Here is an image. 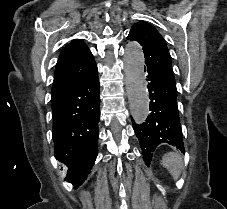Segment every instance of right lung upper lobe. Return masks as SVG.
I'll return each mask as SVG.
<instances>
[{"instance_id":"obj_1","label":"right lung upper lobe","mask_w":227,"mask_h":209,"mask_svg":"<svg viewBox=\"0 0 227 209\" xmlns=\"http://www.w3.org/2000/svg\"><path fill=\"white\" fill-rule=\"evenodd\" d=\"M94 62L93 55L82 40L74 39L67 44L62 49L56 64L51 98L62 95L81 79L82 74L76 76L62 75L64 68L70 66L88 67ZM85 72L83 71V73Z\"/></svg>"}]
</instances>
